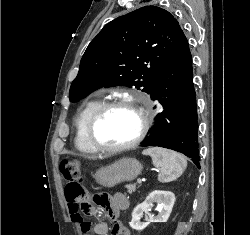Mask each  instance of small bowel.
Returning a JSON list of instances; mask_svg holds the SVG:
<instances>
[{
	"label": "small bowel",
	"mask_w": 250,
	"mask_h": 235,
	"mask_svg": "<svg viewBox=\"0 0 250 235\" xmlns=\"http://www.w3.org/2000/svg\"><path fill=\"white\" fill-rule=\"evenodd\" d=\"M85 203L89 205L88 202ZM67 206L73 222L80 225L83 235H91V224L85 221L84 218L85 216H90L95 213L92 207L90 206L88 210L83 211L79 208L78 203L71 202L68 198ZM98 206H100L110 217L116 218L119 212L127 207V201L122 194H116L108 199H104L102 202L98 203ZM93 231L97 235H107L109 231L108 224L104 221H99L94 225ZM110 235H130V232L124 225L115 222L112 226Z\"/></svg>",
	"instance_id": "obj_1"
}]
</instances>
